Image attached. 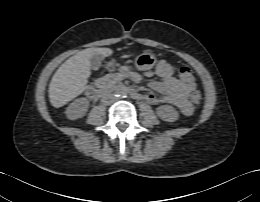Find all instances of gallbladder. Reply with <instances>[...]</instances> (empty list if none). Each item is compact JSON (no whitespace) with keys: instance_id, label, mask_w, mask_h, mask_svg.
<instances>
[{"instance_id":"bac80fb5","label":"gallbladder","mask_w":260,"mask_h":202,"mask_svg":"<svg viewBox=\"0 0 260 202\" xmlns=\"http://www.w3.org/2000/svg\"><path fill=\"white\" fill-rule=\"evenodd\" d=\"M102 60H103L102 55H98V54L94 55L90 60L91 69L97 71L101 66Z\"/></svg>"}]
</instances>
